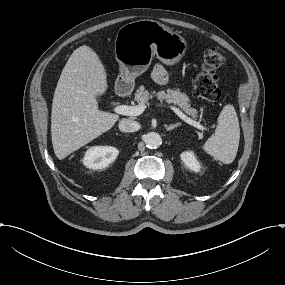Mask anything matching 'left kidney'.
<instances>
[{
	"mask_svg": "<svg viewBox=\"0 0 285 285\" xmlns=\"http://www.w3.org/2000/svg\"><path fill=\"white\" fill-rule=\"evenodd\" d=\"M181 158L183 160V162L185 163V165L193 170V171H199V164L197 162V160L195 159L194 155L191 153H184L181 155Z\"/></svg>",
	"mask_w": 285,
	"mask_h": 285,
	"instance_id": "5707ae66",
	"label": "left kidney"
}]
</instances>
